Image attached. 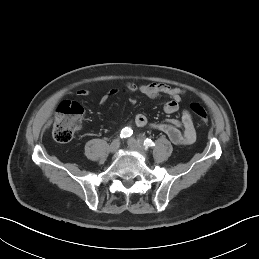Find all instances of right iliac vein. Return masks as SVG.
I'll list each match as a JSON object with an SVG mask.
<instances>
[{
	"mask_svg": "<svg viewBox=\"0 0 259 259\" xmlns=\"http://www.w3.org/2000/svg\"><path fill=\"white\" fill-rule=\"evenodd\" d=\"M119 147H120V140L114 139L109 146V152L114 153L118 150Z\"/></svg>",
	"mask_w": 259,
	"mask_h": 259,
	"instance_id": "63e3f726",
	"label": "right iliac vein"
}]
</instances>
